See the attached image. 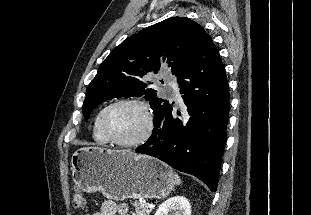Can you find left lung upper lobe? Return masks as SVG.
<instances>
[{"label": "left lung upper lobe", "mask_w": 311, "mask_h": 215, "mask_svg": "<svg viewBox=\"0 0 311 215\" xmlns=\"http://www.w3.org/2000/svg\"><path fill=\"white\" fill-rule=\"evenodd\" d=\"M205 36L202 26L191 19L171 17L125 39L101 63L90 83L82 107L85 119L102 102L123 96H144L156 117L168 101L157 97L152 74L168 67L176 76Z\"/></svg>", "instance_id": "obj_1"}]
</instances>
